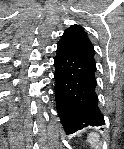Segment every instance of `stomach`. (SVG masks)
I'll return each mask as SVG.
<instances>
[{
  "label": "stomach",
  "mask_w": 124,
  "mask_h": 149,
  "mask_svg": "<svg viewBox=\"0 0 124 149\" xmlns=\"http://www.w3.org/2000/svg\"><path fill=\"white\" fill-rule=\"evenodd\" d=\"M89 137H90V138H91V137H92V138H94V137H95V135H93V134H92V135H90Z\"/></svg>",
  "instance_id": "obj_1"
}]
</instances>
